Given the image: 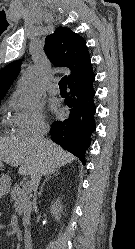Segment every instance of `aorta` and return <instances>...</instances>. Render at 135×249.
<instances>
[{
	"mask_svg": "<svg viewBox=\"0 0 135 249\" xmlns=\"http://www.w3.org/2000/svg\"><path fill=\"white\" fill-rule=\"evenodd\" d=\"M41 71L32 68L20 80L17 97L20 103L26 106L35 105L41 97Z\"/></svg>",
	"mask_w": 135,
	"mask_h": 249,
	"instance_id": "obj_1",
	"label": "aorta"
}]
</instances>
